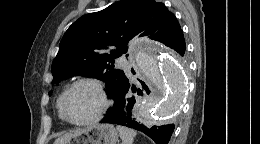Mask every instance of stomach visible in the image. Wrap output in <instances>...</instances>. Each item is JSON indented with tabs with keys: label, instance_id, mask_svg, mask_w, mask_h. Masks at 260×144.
Returning a JSON list of instances; mask_svg holds the SVG:
<instances>
[{
	"label": "stomach",
	"instance_id": "0dacf381",
	"mask_svg": "<svg viewBox=\"0 0 260 144\" xmlns=\"http://www.w3.org/2000/svg\"><path fill=\"white\" fill-rule=\"evenodd\" d=\"M118 134L111 124H100L83 129L67 144H116Z\"/></svg>",
	"mask_w": 260,
	"mask_h": 144
}]
</instances>
